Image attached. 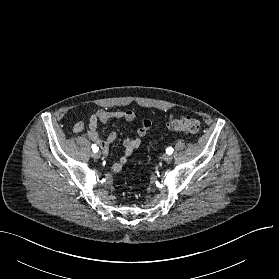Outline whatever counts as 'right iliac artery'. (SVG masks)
Listing matches in <instances>:
<instances>
[{
  "mask_svg": "<svg viewBox=\"0 0 279 279\" xmlns=\"http://www.w3.org/2000/svg\"><path fill=\"white\" fill-rule=\"evenodd\" d=\"M92 150H93V152H97L98 151V147L95 144H93L92 145Z\"/></svg>",
  "mask_w": 279,
  "mask_h": 279,
  "instance_id": "obj_1",
  "label": "right iliac artery"
}]
</instances>
